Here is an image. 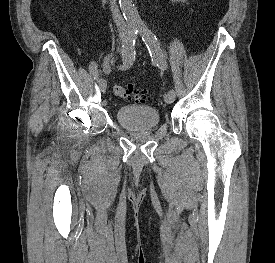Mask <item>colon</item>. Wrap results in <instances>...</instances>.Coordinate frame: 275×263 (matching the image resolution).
Here are the masks:
<instances>
[{"mask_svg":"<svg viewBox=\"0 0 275 263\" xmlns=\"http://www.w3.org/2000/svg\"><path fill=\"white\" fill-rule=\"evenodd\" d=\"M113 92L117 98L122 100H132L137 103H145L150 100V95L146 91H139L122 85H114Z\"/></svg>","mask_w":275,"mask_h":263,"instance_id":"1","label":"colon"}]
</instances>
